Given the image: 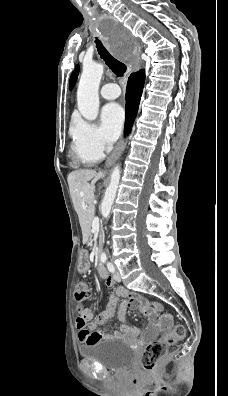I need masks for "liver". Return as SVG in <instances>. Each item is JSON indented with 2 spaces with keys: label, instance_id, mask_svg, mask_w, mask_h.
I'll return each instance as SVG.
<instances>
[{
  "label": "liver",
  "instance_id": "liver-1",
  "mask_svg": "<svg viewBox=\"0 0 228 396\" xmlns=\"http://www.w3.org/2000/svg\"><path fill=\"white\" fill-rule=\"evenodd\" d=\"M102 177L104 175L97 173L95 170L81 169L71 172L67 178L72 202L79 217L84 242L87 240L90 221L94 214L95 183ZM90 180L91 184H89Z\"/></svg>",
  "mask_w": 228,
  "mask_h": 396
}]
</instances>
